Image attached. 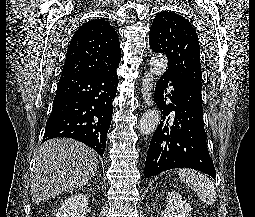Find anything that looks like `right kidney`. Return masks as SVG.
Here are the masks:
<instances>
[{
	"label": "right kidney",
	"instance_id": "right-kidney-1",
	"mask_svg": "<svg viewBox=\"0 0 255 217\" xmlns=\"http://www.w3.org/2000/svg\"><path fill=\"white\" fill-rule=\"evenodd\" d=\"M87 209V195H71L61 204V207L59 208L56 217H85Z\"/></svg>",
	"mask_w": 255,
	"mask_h": 217
}]
</instances>
